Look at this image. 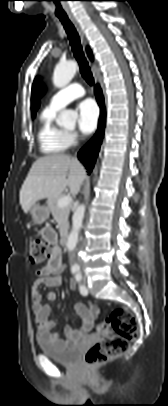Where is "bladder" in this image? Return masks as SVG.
I'll return each instance as SVG.
<instances>
[{
	"mask_svg": "<svg viewBox=\"0 0 168 406\" xmlns=\"http://www.w3.org/2000/svg\"><path fill=\"white\" fill-rule=\"evenodd\" d=\"M37 343L46 356L64 365L75 364L80 355L79 346L58 347L40 336H37Z\"/></svg>",
	"mask_w": 168,
	"mask_h": 406,
	"instance_id": "1",
	"label": "bladder"
}]
</instances>
